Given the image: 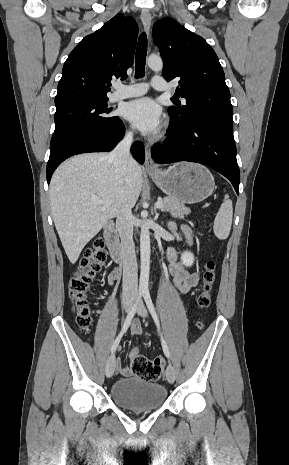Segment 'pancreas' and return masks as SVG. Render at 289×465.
Masks as SVG:
<instances>
[{
	"mask_svg": "<svg viewBox=\"0 0 289 465\" xmlns=\"http://www.w3.org/2000/svg\"><path fill=\"white\" fill-rule=\"evenodd\" d=\"M163 206L160 208L162 211L170 212L176 218H183L188 215L191 210L186 207L182 202L171 197H165L162 200Z\"/></svg>",
	"mask_w": 289,
	"mask_h": 465,
	"instance_id": "1",
	"label": "pancreas"
}]
</instances>
